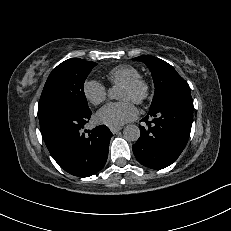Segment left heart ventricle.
<instances>
[{"mask_svg":"<svg viewBox=\"0 0 231 231\" xmlns=\"http://www.w3.org/2000/svg\"><path fill=\"white\" fill-rule=\"evenodd\" d=\"M135 96H136V93L134 91L122 86L120 94H119V98L121 100L128 99V100L134 101Z\"/></svg>","mask_w":231,"mask_h":231,"instance_id":"left-heart-ventricle-1","label":"left heart ventricle"}]
</instances>
